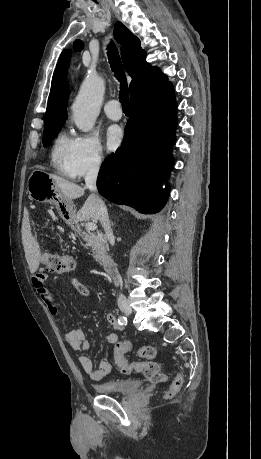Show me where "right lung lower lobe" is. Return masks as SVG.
I'll list each match as a JSON object with an SVG mask.
<instances>
[{"label":"right lung lower lobe","mask_w":261,"mask_h":459,"mask_svg":"<svg viewBox=\"0 0 261 459\" xmlns=\"http://www.w3.org/2000/svg\"><path fill=\"white\" fill-rule=\"evenodd\" d=\"M176 103L171 83L131 101V118L122 146L101 165L97 188L116 204L143 214L159 212L169 195L167 178L174 161Z\"/></svg>","instance_id":"98d812e1"}]
</instances>
